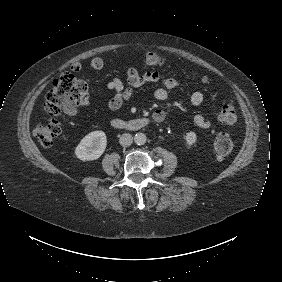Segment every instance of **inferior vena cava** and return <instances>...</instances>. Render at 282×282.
Instances as JSON below:
<instances>
[{
	"label": "inferior vena cava",
	"mask_w": 282,
	"mask_h": 282,
	"mask_svg": "<svg viewBox=\"0 0 282 282\" xmlns=\"http://www.w3.org/2000/svg\"><path fill=\"white\" fill-rule=\"evenodd\" d=\"M133 142V137L129 133H124L120 136L119 138V143L123 147H128L132 144Z\"/></svg>",
	"instance_id": "obj_1"
}]
</instances>
